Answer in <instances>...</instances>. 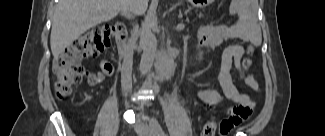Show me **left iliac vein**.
Returning a JSON list of instances; mask_svg holds the SVG:
<instances>
[{"label": "left iliac vein", "instance_id": "obj_1", "mask_svg": "<svg viewBox=\"0 0 325 136\" xmlns=\"http://www.w3.org/2000/svg\"><path fill=\"white\" fill-rule=\"evenodd\" d=\"M135 131L143 134V135H152L155 136L157 135V131L155 129V127H153L151 124L147 125L145 123H137L134 126Z\"/></svg>", "mask_w": 325, "mask_h": 136}]
</instances>
